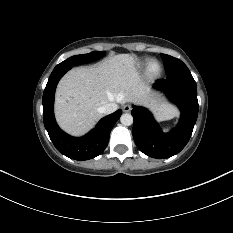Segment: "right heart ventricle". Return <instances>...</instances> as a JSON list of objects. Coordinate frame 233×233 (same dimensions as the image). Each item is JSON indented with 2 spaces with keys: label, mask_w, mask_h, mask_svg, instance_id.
<instances>
[{
  "label": "right heart ventricle",
  "mask_w": 233,
  "mask_h": 233,
  "mask_svg": "<svg viewBox=\"0 0 233 233\" xmlns=\"http://www.w3.org/2000/svg\"><path fill=\"white\" fill-rule=\"evenodd\" d=\"M145 64H146V61H142V62L139 64V67H143Z\"/></svg>",
  "instance_id": "1"
}]
</instances>
